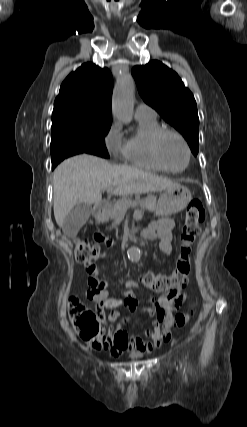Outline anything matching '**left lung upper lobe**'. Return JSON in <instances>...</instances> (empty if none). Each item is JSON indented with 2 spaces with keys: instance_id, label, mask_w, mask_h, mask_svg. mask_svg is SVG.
<instances>
[{
  "instance_id": "1",
  "label": "left lung upper lobe",
  "mask_w": 247,
  "mask_h": 427,
  "mask_svg": "<svg viewBox=\"0 0 247 427\" xmlns=\"http://www.w3.org/2000/svg\"><path fill=\"white\" fill-rule=\"evenodd\" d=\"M132 75L143 100L184 136L196 156L199 146L196 102L179 76L156 60L135 66Z\"/></svg>"
}]
</instances>
